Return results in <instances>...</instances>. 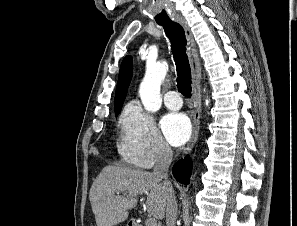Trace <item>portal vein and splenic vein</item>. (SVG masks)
Returning a JSON list of instances; mask_svg holds the SVG:
<instances>
[{
  "instance_id": "1",
  "label": "portal vein and splenic vein",
  "mask_w": 297,
  "mask_h": 226,
  "mask_svg": "<svg viewBox=\"0 0 297 226\" xmlns=\"http://www.w3.org/2000/svg\"><path fill=\"white\" fill-rule=\"evenodd\" d=\"M157 221L155 220V218H148L145 221V225L146 226H156Z\"/></svg>"
}]
</instances>
